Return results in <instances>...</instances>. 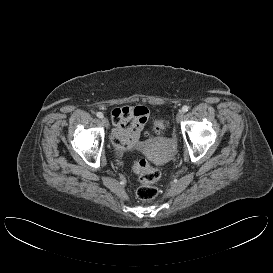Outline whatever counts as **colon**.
<instances>
[{
  "label": "colon",
  "instance_id": "obj_1",
  "mask_svg": "<svg viewBox=\"0 0 273 273\" xmlns=\"http://www.w3.org/2000/svg\"><path fill=\"white\" fill-rule=\"evenodd\" d=\"M165 129V122L158 120L155 122L153 131L156 134L161 133ZM134 171L139 177L140 186L137 189V197L143 201L154 199L158 195L156 183L161 173L158 169L152 167L145 159L137 161L134 165Z\"/></svg>",
  "mask_w": 273,
  "mask_h": 273
}]
</instances>
